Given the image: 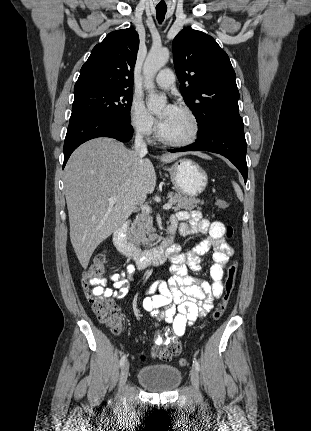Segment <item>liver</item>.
Returning <instances> with one entry per match:
<instances>
[{
    "mask_svg": "<svg viewBox=\"0 0 311 431\" xmlns=\"http://www.w3.org/2000/svg\"><path fill=\"white\" fill-rule=\"evenodd\" d=\"M184 154H163L171 164ZM148 158L112 138H95L79 146L64 170L70 239L84 269L97 245L116 231L156 188ZM109 198L118 202L110 206Z\"/></svg>",
    "mask_w": 311,
    "mask_h": 431,
    "instance_id": "obj_1",
    "label": "liver"
}]
</instances>
